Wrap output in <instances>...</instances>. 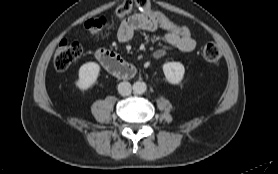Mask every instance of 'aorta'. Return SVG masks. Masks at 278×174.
Returning <instances> with one entry per match:
<instances>
[{"instance_id":"obj_1","label":"aorta","mask_w":278,"mask_h":174,"mask_svg":"<svg viewBox=\"0 0 278 174\" xmlns=\"http://www.w3.org/2000/svg\"><path fill=\"white\" fill-rule=\"evenodd\" d=\"M147 89V85L145 82L137 81L133 84V91L136 94H143Z\"/></svg>"}]
</instances>
